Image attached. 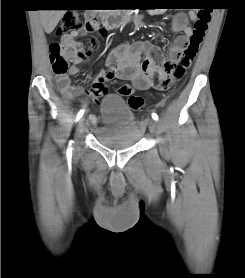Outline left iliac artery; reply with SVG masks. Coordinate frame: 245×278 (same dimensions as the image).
Returning <instances> with one entry per match:
<instances>
[{"mask_svg": "<svg viewBox=\"0 0 245 278\" xmlns=\"http://www.w3.org/2000/svg\"><path fill=\"white\" fill-rule=\"evenodd\" d=\"M152 118H153L154 120H158V115H157L156 113H152Z\"/></svg>", "mask_w": 245, "mask_h": 278, "instance_id": "44dca946", "label": "left iliac artery"}]
</instances>
